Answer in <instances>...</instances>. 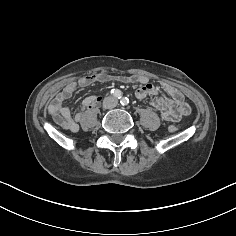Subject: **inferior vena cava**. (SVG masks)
Wrapping results in <instances>:
<instances>
[{
  "label": "inferior vena cava",
  "mask_w": 236,
  "mask_h": 236,
  "mask_svg": "<svg viewBox=\"0 0 236 236\" xmlns=\"http://www.w3.org/2000/svg\"><path fill=\"white\" fill-rule=\"evenodd\" d=\"M117 104H118L117 99L112 96H108L103 100V106L106 109H112V108L116 107Z\"/></svg>",
  "instance_id": "obj_1"
}]
</instances>
